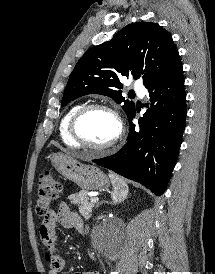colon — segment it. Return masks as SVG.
I'll list each match as a JSON object with an SVG mask.
<instances>
[{
    "label": "colon",
    "mask_w": 215,
    "mask_h": 274,
    "mask_svg": "<svg viewBox=\"0 0 215 274\" xmlns=\"http://www.w3.org/2000/svg\"><path fill=\"white\" fill-rule=\"evenodd\" d=\"M61 191V185L50 171L40 174L37 190V214L46 217L50 212V206L56 201Z\"/></svg>",
    "instance_id": "1"
}]
</instances>
